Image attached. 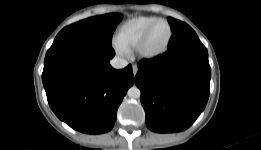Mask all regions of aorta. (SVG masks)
Here are the masks:
<instances>
[{"label": "aorta", "instance_id": "obj_1", "mask_svg": "<svg viewBox=\"0 0 261 150\" xmlns=\"http://www.w3.org/2000/svg\"><path fill=\"white\" fill-rule=\"evenodd\" d=\"M127 95H128L130 98L137 99V98H140L141 92H140V89H139L138 87L132 86V87L128 90Z\"/></svg>", "mask_w": 261, "mask_h": 150}]
</instances>
